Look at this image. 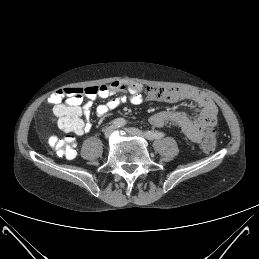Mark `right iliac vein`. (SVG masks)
<instances>
[{
  "mask_svg": "<svg viewBox=\"0 0 259 259\" xmlns=\"http://www.w3.org/2000/svg\"><path fill=\"white\" fill-rule=\"evenodd\" d=\"M115 127L112 125V126H109L107 127L105 130H104V136L106 138H109L112 134V132L114 131Z\"/></svg>",
  "mask_w": 259,
  "mask_h": 259,
  "instance_id": "obj_1",
  "label": "right iliac vein"
}]
</instances>
